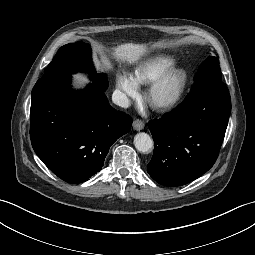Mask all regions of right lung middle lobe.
Masks as SVG:
<instances>
[{
  "mask_svg": "<svg viewBox=\"0 0 255 255\" xmlns=\"http://www.w3.org/2000/svg\"><path fill=\"white\" fill-rule=\"evenodd\" d=\"M90 72L92 82L102 90L108 87L105 74H97L92 68L91 49L88 44L78 41L61 47L53 61L47 66L44 75L73 74L78 71Z\"/></svg>",
  "mask_w": 255,
  "mask_h": 255,
  "instance_id": "obj_1",
  "label": "right lung middle lobe"
}]
</instances>
